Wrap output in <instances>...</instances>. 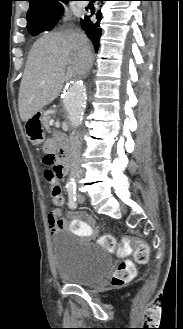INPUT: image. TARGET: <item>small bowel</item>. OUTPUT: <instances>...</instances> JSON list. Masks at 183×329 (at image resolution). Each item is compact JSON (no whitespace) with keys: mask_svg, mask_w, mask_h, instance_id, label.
Returning a JSON list of instances; mask_svg holds the SVG:
<instances>
[{"mask_svg":"<svg viewBox=\"0 0 183 329\" xmlns=\"http://www.w3.org/2000/svg\"><path fill=\"white\" fill-rule=\"evenodd\" d=\"M57 148V141L49 139L44 143L45 154H55ZM74 216L83 218L85 220H70V230L74 232L75 236H86L85 240L90 242L95 232H98V225H94V220L83 212L75 213ZM47 223L52 234H56L61 230L68 228L67 220L62 216L60 211H52L47 216Z\"/></svg>","mask_w":183,"mask_h":329,"instance_id":"small-bowel-1","label":"small bowel"}]
</instances>
